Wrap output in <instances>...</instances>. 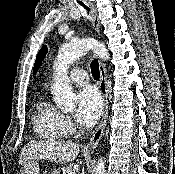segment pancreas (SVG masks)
Segmentation results:
<instances>
[{
  "label": "pancreas",
  "instance_id": "cf45deb5",
  "mask_svg": "<svg viewBox=\"0 0 175 174\" xmlns=\"http://www.w3.org/2000/svg\"><path fill=\"white\" fill-rule=\"evenodd\" d=\"M56 171L57 170H54L52 174H56L55 173ZM62 172H63V174H75L74 173V166H73V164H69V165L63 167L62 168Z\"/></svg>",
  "mask_w": 175,
  "mask_h": 174
}]
</instances>
